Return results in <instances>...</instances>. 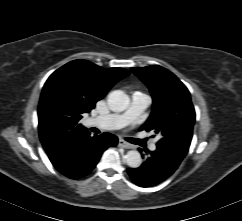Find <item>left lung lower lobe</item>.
Returning a JSON list of instances; mask_svg holds the SVG:
<instances>
[{
  "label": "left lung lower lobe",
  "mask_w": 242,
  "mask_h": 221,
  "mask_svg": "<svg viewBox=\"0 0 242 221\" xmlns=\"http://www.w3.org/2000/svg\"><path fill=\"white\" fill-rule=\"evenodd\" d=\"M147 152L149 155L140 167L127 169L132 181L140 187L161 183L175 172L185 157L171 148L162 146H157L154 152Z\"/></svg>",
  "instance_id": "obj_1"
}]
</instances>
